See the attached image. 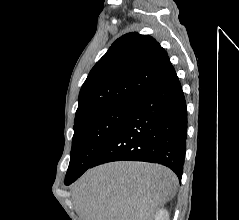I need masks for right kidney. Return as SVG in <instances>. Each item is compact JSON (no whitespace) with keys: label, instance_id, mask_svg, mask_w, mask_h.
<instances>
[{"label":"right kidney","instance_id":"obj_1","mask_svg":"<svg viewBox=\"0 0 239 220\" xmlns=\"http://www.w3.org/2000/svg\"><path fill=\"white\" fill-rule=\"evenodd\" d=\"M154 220H169V214L165 209H160L156 212Z\"/></svg>","mask_w":239,"mask_h":220}]
</instances>
